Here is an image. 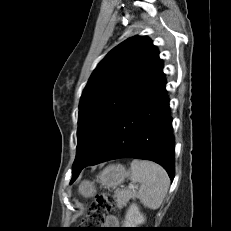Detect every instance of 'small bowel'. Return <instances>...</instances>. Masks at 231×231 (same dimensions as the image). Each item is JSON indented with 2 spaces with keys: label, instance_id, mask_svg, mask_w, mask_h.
<instances>
[{
  "label": "small bowel",
  "instance_id": "obj_1",
  "mask_svg": "<svg viewBox=\"0 0 231 231\" xmlns=\"http://www.w3.org/2000/svg\"><path fill=\"white\" fill-rule=\"evenodd\" d=\"M104 225L106 227L105 229H107L106 231H110V229L118 225V218L114 215H111L107 218Z\"/></svg>",
  "mask_w": 231,
  "mask_h": 231
}]
</instances>
